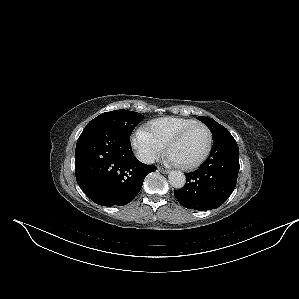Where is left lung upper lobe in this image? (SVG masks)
I'll list each match as a JSON object with an SVG mask.
<instances>
[{
  "label": "left lung upper lobe",
  "mask_w": 299,
  "mask_h": 299,
  "mask_svg": "<svg viewBox=\"0 0 299 299\" xmlns=\"http://www.w3.org/2000/svg\"><path fill=\"white\" fill-rule=\"evenodd\" d=\"M199 120H201L205 125L208 126L210 129L212 136H216L220 134L221 132L228 131L224 126L217 123L215 120L209 117H198Z\"/></svg>",
  "instance_id": "left-lung-upper-lobe-1"
}]
</instances>
